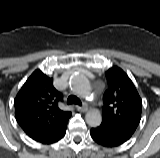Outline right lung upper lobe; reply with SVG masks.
Returning <instances> with one entry per match:
<instances>
[{"label":"right lung upper lobe","instance_id":"1","mask_svg":"<svg viewBox=\"0 0 160 158\" xmlns=\"http://www.w3.org/2000/svg\"><path fill=\"white\" fill-rule=\"evenodd\" d=\"M52 82V78L37 69L14 100L17 122L24 132L37 142L61 131L71 116V112L59 108L63 97L53 87Z\"/></svg>","mask_w":160,"mask_h":158}]
</instances>
